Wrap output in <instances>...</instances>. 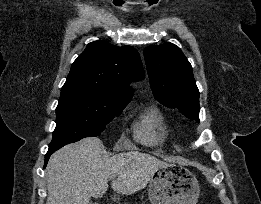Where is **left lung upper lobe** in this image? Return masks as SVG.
<instances>
[{"label": "left lung upper lobe", "instance_id": "obj_1", "mask_svg": "<svg viewBox=\"0 0 261 204\" xmlns=\"http://www.w3.org/2000/svg\"><path fill=\"white\" fill-rule=\"evenodd\" d=\"M144 58L155 98L199 122L200 94L191 64L181 49L172 43L152 45L144 49Z\"/></svg>", "mask_w": 261, "mask_h": 204}]
</instances>
